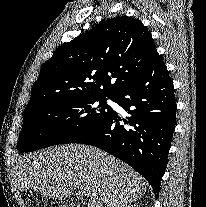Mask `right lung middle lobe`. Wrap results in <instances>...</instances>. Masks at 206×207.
Masks as SVG:
<instances>
[{
  "label": "right lung middle lobe",
  "instance_id": "dd1d6c3e",
  "mask_svg": "<svg viewBox=\"0 0 206 207\" xmlns=\"http://www.w3.org/2000/svg\"><path fill=\"white\" fill-rule=\"evenodd\" d=\"M107 98L113 100L114 96L51 101L25 111L17 150L32 152L52 145L75 142L113 112L106 104Z\"/></svg>",
  "mask_w": 206,
  "mask_h": 207
}]
</instances>
